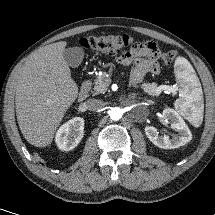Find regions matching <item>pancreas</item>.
<instances>
[{
    "mask_svg": "<svg viewBox=\"0 0 215 215\" xmlns=\"http://www.w3.org/2000/svg\"><path fill=\"white\" fill-rule=\"evenodd\" d=\"M108 84L109 83L106 78V74L103 73L102 75H99L94 80V83H93V88H92L93 95L104 94L107 91ZM143 89L145 92L149 93L150 95H157L159 93V89L157 85L144 84Z\"/></svg>",
    "mask_w": 215,
    "mask_h": 215,
    "instance_id": "cf45deb5",
    "label": "pancreas"
}]
</instances>
